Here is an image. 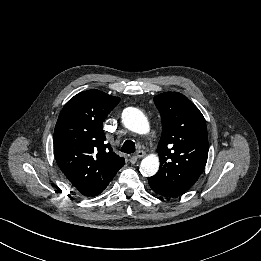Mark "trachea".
Instances as JSON below:
<instances>
[{"label": "trachea", "instance_id": "trachea-1", "mask_svg": "<svg viewBox=\"0 0 261 261\" xmlns=\"http://www.w3.org/2000/svg\"><path fill=\"white\" fill-rule=\"evenodd\" d=\"M135 149V143L132 140H126L121 148V151L131 154L135 152Z\"/></svg>", "mask_w": 261, "mask_h": 261}]
</instances>
